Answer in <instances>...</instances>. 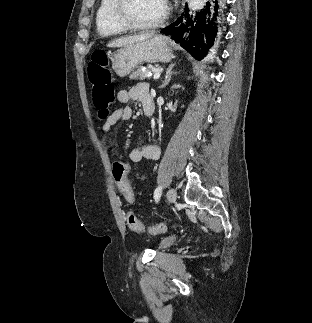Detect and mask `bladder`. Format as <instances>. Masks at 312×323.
Segmentation results:
<instances>
[{
  "label": "bladder",
  "instance_id": "obj_1",
  "mask_svg": "<svg viewBox=\"0 0 312 323\" xmlns=\"http://www.w3.org/2000/svg\"><path fill=\"white\" fill-rule=\"evenodd\" d=\"M173 242V239L170 237L162 238L160 240V247H166L169 246Z\"/></svg>",
  "mask_w": 312,
  "mask_h": 323
}]
</instances>
